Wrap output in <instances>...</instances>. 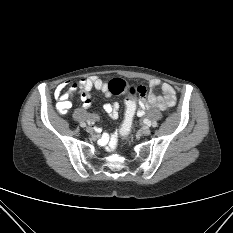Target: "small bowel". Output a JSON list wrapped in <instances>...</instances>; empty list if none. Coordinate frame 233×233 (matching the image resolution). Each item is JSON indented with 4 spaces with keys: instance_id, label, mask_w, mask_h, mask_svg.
Here are the masks:
<instances>
[{
    "instance_id": "c3829d8e",
    "label": "small bowel",
    "mask_w": 233,
    "mask_h": 233,
    "mask_svg": "<svg viewBox=\"0 0 233 233\" xmlns=\"http://www.w3.org/2000/svg\"><path fill=\"white\" fill-rule=\"evenodd\" d=\"M67 85H70L66 92L63 90ZM149 86L151 91L148 97L141 100L137 106L136 114L141 117L145 113V109L151 106H156L160 108L171 107L176 101V92L172 85L168 83H162L158 79H152L149 81ZM160 87L162 90V95L158 96L155 94V89ZM96 89L101 91L105 95H110L109 84L102 79L91 76L88 78L81 79L75 83H60L55 89V99L57 101L56 108L61 115H68L72 107V99L79 95L83 102V108L89 109L91 107V96L90 91ZM120 106L117 102L107 103L103 106V111L113 120L117 119L119 116ZM97 120V115L92 114L90 116V121L94 122ZM116 147V139H111L108 144V149L113 150Z\"/></svg>"
}]
</instances>
